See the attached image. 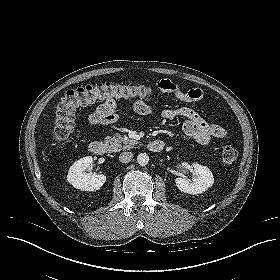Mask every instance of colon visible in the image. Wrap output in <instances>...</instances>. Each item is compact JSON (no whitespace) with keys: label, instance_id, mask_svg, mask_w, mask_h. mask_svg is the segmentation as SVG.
<instances>
[{"label":"colon","instance_id":"1","mask_svg":"<svg viewBox=\"0 0 280 280\" xmlns=\"http://www.w3.org/2000/svg\"><path fill=\"white\" fill-rule=\"evenodd\" d=\"M150 95V88L143 84L103 82L67 91L57 102L54 111L53 143L65 140L71 133L74 112L78 106L87 105L100 99H142ZM238 152L233 146L223 148V162L232 163Z\"/></svg>","mask_w":280,"mask_h":280}]
</instances>
